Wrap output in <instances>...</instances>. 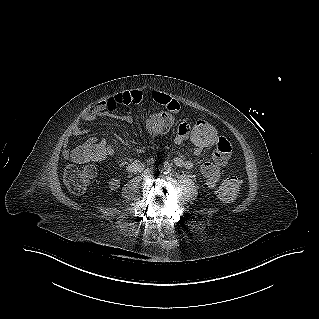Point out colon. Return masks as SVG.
Listing matches in <instances>:
<instances>
[{
	"mask_svg": "<svg viewBox=\"0 0 319 319\" xmlns=\"http://www.w3.org/2000/svg\"><path fill=\"white\" fill-rule=\"evenodd\" d=\"M177 121L173 113L156 111L150 113L145 120L138 122L137 126L127 124L123 126L121 135L123 139L132 141L137 135L142 138L161 139L175 132L173 124ZM191 135H185L187 142L198 150L212 152L218 148L215 140L222 138L221 131L210 121H197L190 124ZM228 142V141H227ZM229 146L230 143L228 142ZM231 148V146H230ZM69 156L76 164L69 166L63 175L64 183L70 192L83 193L95 176L94 162L99 160L96 149L79 146L69 152ZM242 180L237 176L227 177L218 189V196L224 202L233 201L240 188Z\"/></svg>",
	"mask_w": 319,
	"mask_h": 319,
	"instance_id": "colon-1",
	"label": "colon"
}]
</instances>
